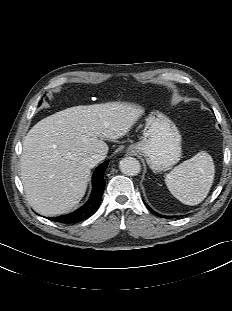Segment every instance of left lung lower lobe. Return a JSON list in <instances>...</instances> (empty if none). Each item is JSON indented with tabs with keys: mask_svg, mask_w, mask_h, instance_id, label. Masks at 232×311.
<instances>
[{
	"mask_svg": "<svg viewBox=\"0 0 232 311\" xmlns=\"http://www.w3.org/2000/svg\"><path fill=\"white\" fill-rule=\"evenodd\" d=\"M145 205H146L147 208H148L151 212H153L155 215L160 216V217H164V216H161V215L157 214L156 212H154L147 204H145ZM167 218H169V217H167Z\"/></svg>",
	"mask_w": 232,
	"mask_h": 311,
	"instance_id": "1",
	"label": "left lung lower lobe"
}]
</instances>
